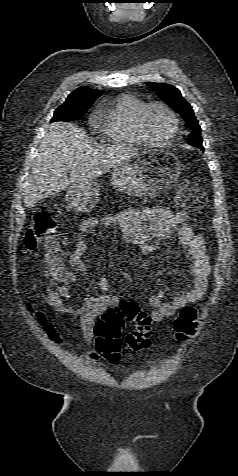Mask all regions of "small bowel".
<instances>
[{
    "instance_id": "1",
    "label": "small bowel",
    "mask_w": 238,
    "mask_h": 476,
    "mask_svg": "<svg viewBox=\"0 0 238 476\" xmlns=\"http://www.w3.org/2000/svg\"><path fill=\"white\" fill-rule=\"evenodd\" d=\"M187 219L185 212L153 207L130 208L116 214L89 218L79 227L80 236L75 242V250L68 257L69 263L76 271L86 274L83 254L88 247L89 233L99 228L118 227L123 238L139 248L141 267L149 273L148 256L156 250V241L175 232L191 266L190 277L186 292L174 298L172 302L162 300L163 291L150 297L149 303L154 308L150 314L151 323H159L174 316L178 310L199 301L207 289L211 269L205 241L201 235L194 232ZM67 274L69 281L46 286L44 298L60 313L78 318L84 341L90 344L96 338V324L102 314L122 301L118 296L109 294L110 281L101 279L98 283L100 294L87 295L78 305H69L66 300H70L72 295L66 283L73 280V275L69 272ZM85 359L88 362H96L99 354L89 351Z\"/></svg>"
}]
</instances>
